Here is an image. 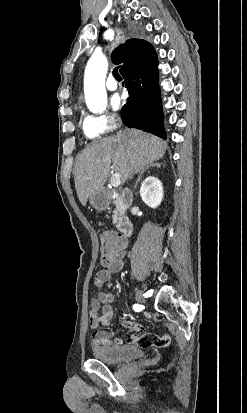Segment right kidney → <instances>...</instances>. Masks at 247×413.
I'll use <instances>...</instances> for the list:
<instances>
[{"label":"right kidney","mask_w":247,"mask_h":413,"mask_svg":"<svg viewBox=\"0 0 247 413\" xmlns=\"http://www.w3.org/2000/svg\"><path fill=\"white\" fill-rule=\"evenodd\" d=\"M139 192L145 204H148L151 209H156L163 198L162 182L157 176H147L143 180Z\"/></svg>","instance_id":"ca27d5eb"}]
</instances>
